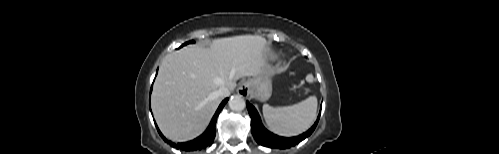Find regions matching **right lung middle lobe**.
I'll list each match as a JSON object with an SVG mask.
<instances>
[{
	"instance_id": "right-lung-middle-lobe-1",
	"label": "right lung middle lobe",
	"mask_w": 499,
	"mask_h": 154,
	"mask_svg": "<svg viewBox=\"0 0 499 154\" xmlns=\"http://www.w3.org/2000/svg\"><path fill=\"white\" fill-rule=\"evenodd\" d=\"M192 42H193V41L186 42V43H184V44H183V46H184V45H186V44L192 43Z\"/></svg>"
}]
</instances>
